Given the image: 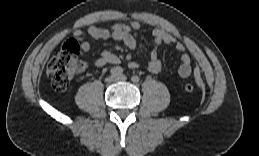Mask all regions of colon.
Listing matches in <instances>:
<instances>
[{"instance_id":"1","label":"colon","mask_w":259,"mask_h":156,"mask_svg":"<svg viewBox=\"0 0 259 156\" xmlns=\"http://www.w3.org/2000/svg\"><path fill=\"white\" fill-rule=\"evenodd\" d=\"M79 55V44L75 40H69L50 59L46 67V73L55 89L65 90L71 80L84 70L85 63L80 60ZM184 90L186 93H192L194 91L193 83H185Z\"/></svg>"}]
</instances>
